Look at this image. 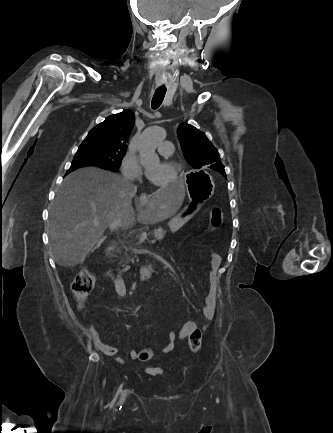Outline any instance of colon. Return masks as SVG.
I'll list each match as a JSON object with an SVG mask.
<instances>
[{
    "mask_svg": "<svg viewBox=\"0 0 333 433\" xmlns=\"http://www.w3.org/2000/svg\"><path fill=\"white\" fill-rule=\"evenodd\" d=\"M223 219V212L220 207H213L209 212V223L212 229L220 227ZM95 286V277L89 270L81 271L72 283V292L78 300L85 299ZM202 344V333L195 329L189 335V346L192 352L197 353ZM146 373L152 376L161 375L163 369L158 366H148L145 368Z\"/></svg>",
    "mask_w": 333,
    "mask_h": 433,
    "instance_id": "5ec220e1",
    "label": "colon"
}]
</instances>
